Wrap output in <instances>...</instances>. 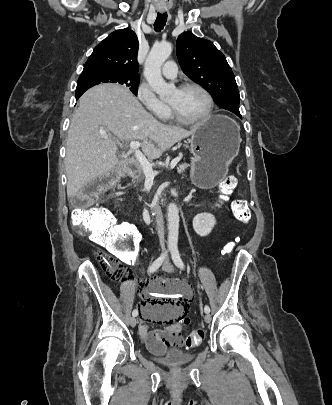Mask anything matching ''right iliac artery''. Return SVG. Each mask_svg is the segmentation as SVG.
Here are the masks:
<instances>
[{
  "label": "right iliac artery",
  "instance_id": "obj_1",
  "mask_svg": "<svg viewBox=\"0 0 332 405\" xmlns=\"http://www.w3.org/2000/svg\"><path fill=\"white\" fill-rule=\"evenodd\" d=\"M167 253H168V251H165L158 259H156L153 263H152V265L149 267V269H148V273L149 274H152V273H154L160 266H161V264L163 263V261L165 260V258L167 257ZM138 315V310L137 309H134L133 310V312H132V316L133 317H136Z\"/></svg>",
  "mask_w": 332,
  "mask_h": 405
}]
</instances>
